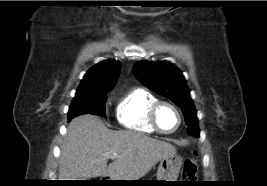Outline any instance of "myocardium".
I'll return each mask as SVG.
<instances>
[{"instance_id":"myocardium-1","label":"myocardium","mask_w":267,"mask_h":186,"mask_svg":"<svg viewBox=\"0 0 267 186\" xmlns=\"http://www.w3.org/2000/svg\"><path fill=\"white\" fill-rule=\"evenodd\" d=\"M163 105H168L171 108H173L178 116V123L176 125V127L171 130V131H164L163 129H161V127L159 126L158 120H157V114L158 111L160 109L161 106ZM148 120L149 123L151 124V126L154 128V130L157 133L163 134V135H170L175 133L182 125L183 122V116H182V112L179 109V107L174 104L173 102L167 101V100H157L156 102H154L150 109H149V113H148Z\"/></svg>"}]
</instances>
